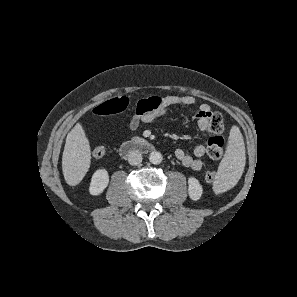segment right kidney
<instances>
[{
	"label": "right kidney",
	"mask_w": 297,
	"mask_h": 297,
	"mask_svg": "<svg viewBox=\"0 0 297 297\" xmlns=\"http://www.w3.org/2000/svg\"><path fill=\"white\" fill-rule=\"evenodd\" d=\"M109 183V175L107 170L98 169L94 172L91 183H90V194L91 195H100L104 189L108 186Z\"/></svg>",
	"instance_id": "ca27d5eb"
}]
</instances>
